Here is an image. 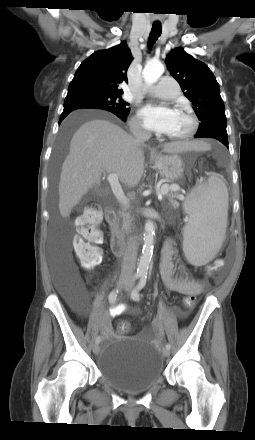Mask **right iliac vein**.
<instances>
[{"instance_id":"1","label":"right iliac vein","mask_w":255,"mask_h":440,"mask_svg":"<svg viewBox=\"0 0 255 440\" xmlns=\"http://www.w3.org/2000/svg\"><path fill=\"white\" fill-rule=\"evenodd\" d=\"M126 287V281H120L119 283H118V289L119 290H122L123 288H125ZM93 353L95 354V355H97L98 353H99V345L98 344H94V346H93Z\"/></svg>"}]
</instances>
